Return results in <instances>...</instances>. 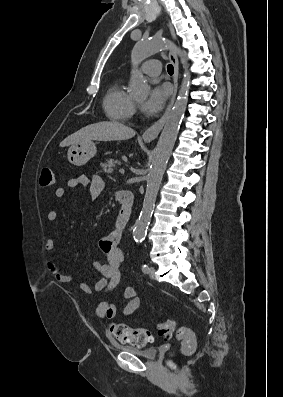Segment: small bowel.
I'll return each instance as SVG.
<instances>
[{
	"mask_svg": "<svg viewBox=\"0 0 283 397\" xmlns=\"http://www.w3.org/2000/svg\"><path fill=\"white\" fill-rule=\"evenodd\" d=\"M68 188L86 187L89 186L90 195L92 199H96L104 189V182L99 176H93L89 179L85 175L72 178L67 182ZM66 195V189L59 187L55 190L57 198H63ZM118 195V194H117ZM58 213L56 211H49L47 220L51 223L56 222ZM121 232L114 230L101 238L99 246L101 251L106 255V262L101 263L94 261L93 268L98 271L102 278L99 279L93 287L85 282H80V289L86 294L101 293L107 294L114 290L120 283L121 279V265L124 261V254L120 248ZM45 250L48 253L47 268L56 281L59 283H69L74 280V277L65 273L54 256L55 244L52 238H48L45 243ZM121 299L126 301L123 309L124 316H131L140 306V299L137 296V291L133 286H126L121 292ZM117 314V306L114 302L102 300L96 308V315L101 319L111 320Z\"/></svg>",
	"mask_w": 283,
	"mask_h": 397,
	"instance_id": "obj_1",
	"label": "small bowel"
}]
</instances>
